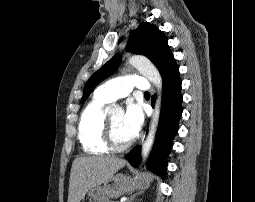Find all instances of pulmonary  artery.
<instances>
[{"label": "pulmonary artery", "instance_id": "e3ab8cb5", "mask_svg": "<svg viewBox=\"0 0 255 202\" xmlns=\"http://www.w3.org/2000/svg\"><path fill=\"white\" fill-rule=\"evenodd\" d=\"M133 88L147 92L150 89V84L142 76L129 74L106 81L96 89L95 94L108 102H113L127 96Z\"/></svg>", "mask_w": 255, "mask_h": 202}]
</instances>
